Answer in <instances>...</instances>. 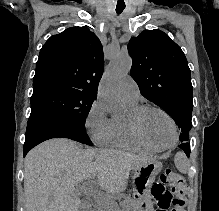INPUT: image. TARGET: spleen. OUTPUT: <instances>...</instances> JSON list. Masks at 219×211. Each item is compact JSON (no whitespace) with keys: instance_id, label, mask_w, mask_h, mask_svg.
<instances>
[{"instance_id":"1","label":"spleen","mask_w":219,"mask_h":211,"mask_svg":"<svg viewBox=\"0 0 219 211\" xmlns=\"http://www.w3.org/2000/svg\"><path fill=\"white\" fill-rule=\"evenodd\" d=\"M174 163L181 173H187L190 163L184 151H177L174 157Z\"/></svg>"}]
</instances>
